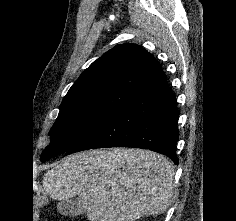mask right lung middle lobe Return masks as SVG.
Masks as SVG:
<instances>
[{
  "instance_id": "1",
  "label": "right lung middle lobe",
  "mask_w": 236,
  "mask_h": 221,
  "mask_svg": "<svg viewBox=\"0 0 236 221\" xmlns=\"http://www.w3.org/2000/svg\"><path fill=\"white\" fill-rule=\"evenodd\" d=\"M134 94L126 90L99 91L61 104L58 118L49 133L51 142L43 151L41 161L71 149Z\"/></svg>"
}]
</instances>
